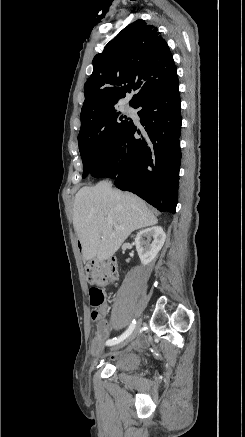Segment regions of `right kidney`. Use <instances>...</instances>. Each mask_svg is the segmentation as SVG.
<instances>
[{
	"instance_id": "1",
	"label": "right kidney",
	"mask_w": 245,
	"mask_h": 437,
	"mask_svg": "<svg viewBox=\"0 0 245 437\" xmlns=\"http://www.w3.org/2000/svg\"><path fill=\"white\" fill-rule=\"evenodd\" d=\"M166 234L159 226L141 230L136 238L135 245L143 265L149 264L164 245Z\"/></svg>"
}]
</instances>
